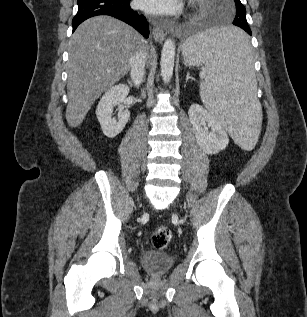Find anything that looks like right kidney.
<instances>
[{
	"label": "right kidney",
	"mask_w": 307,
	"mask_h": 317,
	"mask_svg": "<svg viewBox=\"0 0 307 317\" xmlns=\"http://www.w3.org/2000/svg\"><path fill=\"white\" fill-rule=\"evenodd\" d=\"M128 94L129 87L125 84H119L106 91L98 103L96 116L103 133L108 138L116 137L124 129L130 118L128 109H122L118 121L112 118L113 108L117 105H121Z\"/></svg>",
	"instance_id": "1"
}]
</instances>
